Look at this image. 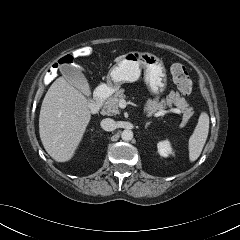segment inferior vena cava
I'll list each match as a JSON object with an SVG mask.
<instances>
[{
  "label": "inferior vena cava",
  "instance_id": "inferior-vena-cava-1",
  "mask_svg": "<svg viewBox=\"0 0 240 240\" xmlns=\"http://www.w3.org/2000/svg\"><path fill=\"white\" fill-rule=\"evenodd\" d=\"M101 127L105 131H113L116 129V122L111 118H105L101 121Z\"/></svg>",
  "mask_w": 240,
  "mask_h": 240
}]
</instances>
